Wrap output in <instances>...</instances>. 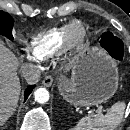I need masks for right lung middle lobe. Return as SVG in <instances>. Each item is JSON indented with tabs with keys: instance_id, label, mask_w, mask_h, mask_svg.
I'll use <instances>...</instances> for the list:
<instances>
[{
	"instance_id": "right-lung-middle-lobe-1",
	"label": "right lung middle lobe",
	"mask_w": 130,
	"mask_h": 130,
	"mask_svg": "<svg viewBox=\"0 0 130 130\" xmlns=\"http://www.w3.org/2000/svg\"><path fill=\"white\" fill-rule=\"evenodd\" d=\"M13 23L14 20L8 13L0 11V35H3L12 40Z\"/></svg>"
}]
</instances>
